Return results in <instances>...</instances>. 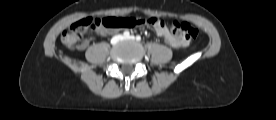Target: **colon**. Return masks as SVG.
<instances>
[{"label":"colon","instance_id":"5ec220e1","mask_svg":"<svg viewBox=\"0 0 276 120\" xmlns=\"http://www.w3.org/2000/svg\"><path fill=\"white\" fill-rule=\"evenodd\" d=\"M158 18H134V17H105V18H85L63 32L62 43L67 47H74L81 35L88 29H108L134 28L142 25L155 26L160 23ZM173 35L182 36L185 40L195 39L198 35L197 28L188 22H174L170 27Z\"/></svg>","mask_w":276,"mask_h":120}]
</instances>
